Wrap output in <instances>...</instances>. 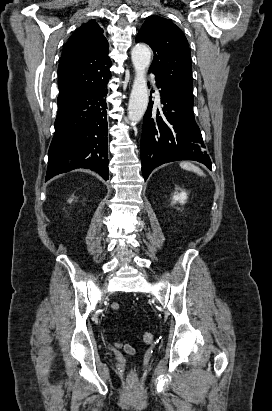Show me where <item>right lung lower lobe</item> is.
Returning <instances> with one entry per match:
<instances>
[{"mask_svg": "<svg viewBox=\"0 0 272 411\" xmlns=\"http://www.w3.org/2000/svg\"><path fill=\"white\" fill-rule=\"evenodd\" d=\"M107 83L58 104L46 181L76 168H89L108 180Z\"/></svg>", "mask_w": 272, "mask_h": 411, "instance_id": "1", "label": "right lung lower lobe"}]
</instances>
